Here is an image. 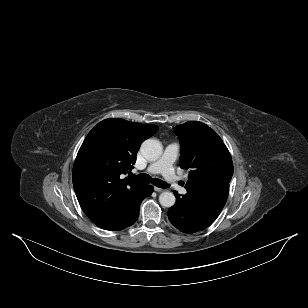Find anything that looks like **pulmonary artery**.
<instances>
[{"mask_svg": "<svg viewBox=\"0 0 308 308\" xmlns=\"http://www.w3.org/2000/svg\"><path fill=\"white\" fill-rule=\"evenodd\" d=\"M178 151V144L171 143L167 145L161 158L152 163L146 169V172L151 174L161 173L166 181L171 185V187L176 189L180 194L185 195L187 190L179 184V178L173 168V164L177 158Z\"/></svg>", "mask_w": 308, "mask_h": 308, "instance_id": "obj_1", "label": "pulmonary artery"}]
</instances>
